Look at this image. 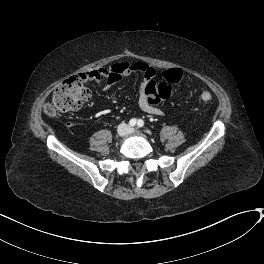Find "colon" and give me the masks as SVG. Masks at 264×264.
Returning <instances> with one entry per match:
<instances>
[{"instance_id":"1","label":"colon","mask_w":264,"mask_h":264,"mask_svg":"<svg viewBox=\"0 0 264 264\" xmlns=\"http://www.w3.org/2000/svg\"><path fill=\"white\" fill-rule=\"evenodd\" d=\"M183 73L178 68L163 71L162 80L151 82L145 87L146 96L153 102L168 101L172 97V86L181 81ZM90 90L79 77H71L58 84L52 94V100L45 104L48 116L79 110L89 99ZM204 102L212 100V93L203 89L200 94Z\"/></svg>"}]
</instances>
